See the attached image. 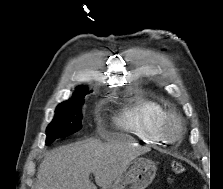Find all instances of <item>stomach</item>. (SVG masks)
I'll use <instances>...</instances> for the list:
<instances>
[{
    "instance_id": "0dacf381",
    "label": "stomach",
    "mask_w": 223,
    "mask_h": 189,
    "mask_svg": "<svg viewBox=\"0 0 223 189\" xmlns=\"http://www.w3.org/2000/svg\"><path fill=\"white\" fill-rule=\"evenodd\" d=\"M156 171V165L151 160L136 158L106 189H145L154 179Z\"/></svg>"
}]
</instances>
